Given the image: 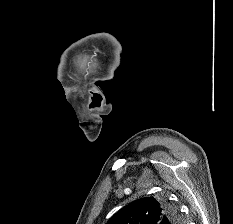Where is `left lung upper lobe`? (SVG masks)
Masks as SVG:
<instances>
[{
	"label": "left lung upper lobe",
	"instance_id": "obj_1",
	"mask_svg": "<svg viewBox=\"0 0 233 224\" xmlns=\"http://www.w3.org/2000/svg\"><path fill=\"white\" fill-rule=\"evenodd\" d=\"M178 211L166 200L138 199L114 214L106 224H178Z\"/></svg>",
	"mask_w": 233,
	"mask_h": 224
}]
</instances>
